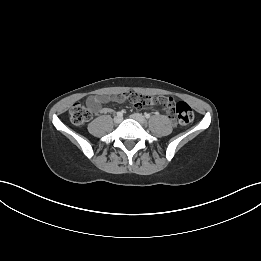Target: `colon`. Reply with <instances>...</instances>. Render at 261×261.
<instances>
[{
  "label": "colon",
  "mask_w": 261,
  "mask_h": 261,
  "mask_svg": "<svg viewBox=\"0 0 261 261\" xmlns=\"http://www.w3.org/2000/svg\"><path fill=\"white\" fill-rule=\"evenodd\" d=\"M161 101L167 113L176 116L181 125L187 126L192 123L194 112L188 103L168 96L161 97ZM91 116V110L82 103H75L70 109V120L76 126L83 125Z\"/></svg>",
  "instance_id": "5ec220e1"
}]
</instances>
